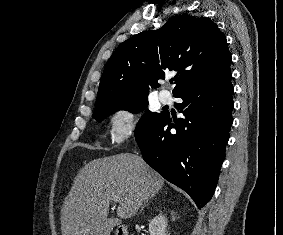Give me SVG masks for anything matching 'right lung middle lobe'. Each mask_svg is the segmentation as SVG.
Masks as SVG:
<instances>
[{
    "label": "right lung middle lobe",
    "instance_id": "1",
    "mask_svg": "<svg viewBox=\"0 0 283 235\" xmlns=\"http://www.w3.org/2000/svg\"><path fill=\"white\" fill-rule=\"evenodd\" d=\"M148 106V96L129 100L103 102L96 104L93 117L97 121H102L105 117L118 110H128L138 113ZM163 115V112H151L148 109L139 120L136 129L135 137L152 127Z\"/></svg>",
    "mask_w": 283,
    "mask_h": 235
}]
</instances>
